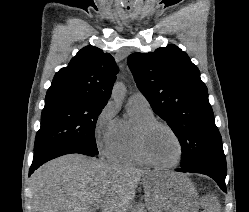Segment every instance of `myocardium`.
I'll return each instance as SVG.
<instances>
[{
  "mask_svg": "<svg viewBox=\"0 0 249 212\" xmlns=\"http://www.w3.org/2000/svg\"><path fill=\"white\" fill-rule=\"evenodd\" d=\"M160 127L166 131H168L177 141L179 146V157L177 161L173 164H159L152 160V158L149 156L147 149H146V139L148 134L155 128ZM134 140H135V146L137 153L140 157V159L147 165L158 168V169H173L176 168L181 164L183 161L184 155H185V148L184 144L179 137V135L176 133V131L169 126L168 124L159 121L157 119H151L147 120L141 124H139L134 132Z\"/></svg>",
  "mask_w": 249,
  "mask_h": 212,
  "instance_id": "obj_1",
  "label": "myocardium"
}]
</instances>
